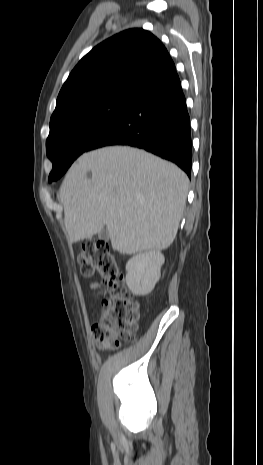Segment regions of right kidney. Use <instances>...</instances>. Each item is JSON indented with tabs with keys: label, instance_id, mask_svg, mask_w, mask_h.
Returning <instances> with one entry per match:
<instances>
[{
	"label": "right kidney",
	"instance_id": "obj_1",
	"mask_svg": "<svg viewBox=\"0 0 263 465\" xmlns=\"http://www.w3.org/2000/svg\"><path fill=\"white\" fill-rule=\"evenodd\" d=\"M165 258L159 250L140 253L126 264V282L129 289L138 295H147L160 279V270Z\"/></svg>",
	"mask_w": 263,
	"mask_h": 465
}]
</instances>
